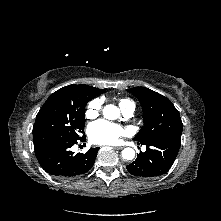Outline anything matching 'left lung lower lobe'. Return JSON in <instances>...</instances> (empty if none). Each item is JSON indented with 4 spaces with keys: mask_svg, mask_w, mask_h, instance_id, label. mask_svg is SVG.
Returning <instances> with one entry per match:
<instances>
[{
    "mask_svg": "<svg viewBox=\"0 0 221 221\" xmlns=\"http://www.w3.org/2000/svg\"><path fill=\"white\" fill-rule=\"evenodd\" d=\"M181 138L176 136H158L139 142L146 145V151L140 152L127 170L138 177H157L165 174L173 165L180 148Z\"/></svg>",
    "mask_w": 221,
    "mask_h": 221,
    "instance_id": "obj_1",
    "label": "left lung lower lobe"
}]
</instances>
